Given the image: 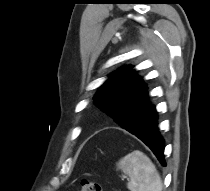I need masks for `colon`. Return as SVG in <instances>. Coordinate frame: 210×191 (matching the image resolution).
Returning <instances> with one entry per match:
<instances>
[{"label": "colon", "mask_w": 210, "mask_h": 191, "mask_svg": "<svg viewBox=\"0 0 210 191\" xmlns=\"http://www.w3.org/2000/svg\"><path fill=\"white\" fill-rule=\"evenodd\" d=\"M81 185V191H103L102 186L97 181L84 179Z\"/></svg>", "instance_id": "obj_1"}]
</instances>
